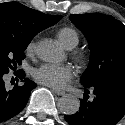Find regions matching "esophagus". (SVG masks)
Returning a JSON list of instances; mask_svg holds the SVG:
<instances>
[{"label": "esophagus", "mask_w": 125, "mask_h": 125, "mask_svg": "<svg viewBox=\"0 0 125 125\" xmlns=\"http://www.w3.org/2000/svg\"><path fill=\"white\" fill-rule=\"evenodd\" d=\"M53 92H54L55 94L59 95V96H61V95H64V94H65V92H64V91L59 90V89H53Z\"/></svg>", "instance_id": "34e87169"}]
</instances>
